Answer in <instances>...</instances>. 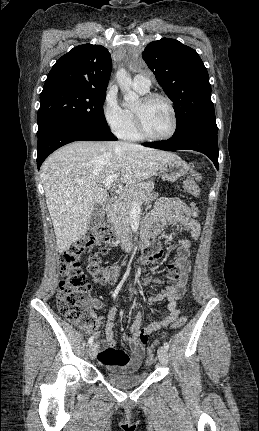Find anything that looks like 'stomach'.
<instances>
[{
    "instance_id": "0dacf381",
    "label": "stomach",
    "mask_w": 259,
    "mask_h": 431,
    "mask_svg": "<svg viewBox=\"0 0 259 431\" xmlns=\"http://www.w3.org/2000/svg\"><path fill=\"white\" fill-rule=\"evenodd\" d=\"M190 169V165L177 157L166 162L159 170L160 176L169 182H175L177 179L185 175ZM157 194H151L148 197V202L154 200Z\"/></svg>"
}]
</instances>
